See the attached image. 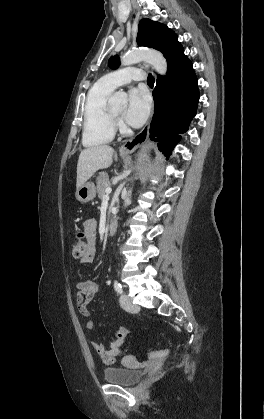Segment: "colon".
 Masks as SVG:
<instances>
[{
    "mask_svg": "<svg viewBox=\"0 0 264 419\" xmlns=\"http://www.w3.org/2000/svg\"><path fill=\"white\" fill-rule=\"evenodd\" d=\"M89 250V239L85 231H79L75 235L72 251L75 257L83 258ZM169 354L168 350L152 351L148 354L150 359H162Z\"/></svg>",
    "mask_w": 264,
    "mask_h": 419,
    "instance_id": "5ec220e1",
    "label": "colon"
}]
</instances>
